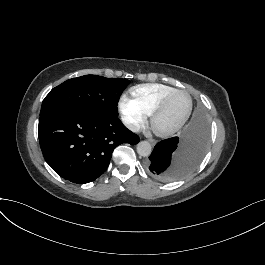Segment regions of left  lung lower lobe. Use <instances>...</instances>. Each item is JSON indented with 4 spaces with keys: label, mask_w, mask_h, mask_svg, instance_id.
Here are the masks:
<instances>
[{
    "label": "left lung lower lobe",
    "mask_w": 265,
    "mask_h": 265,
    "mask_svg": "<svg viewBox=\"0 0 265 265\" xmlns=\"http://www.w3.org/2000/svg\"><path fill=\"white\" fill-rule=\"evenodd\" d=\"M208 140L207 118L203 110L197 108L180 137L162 140L156 144L146 162L147 172L163 182L184 177L201 162Z\"/></svg>",
    "instance_id": "1"
}]
</instances>
